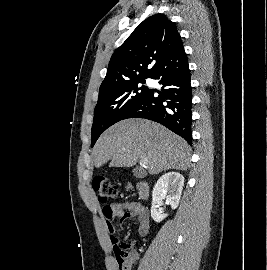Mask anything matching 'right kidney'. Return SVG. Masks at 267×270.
<instances>
[{"label":"right kidney","instance_id":"right-kidney-1","mask_svg":"<svg viewBox=\"0 0 267 270\" xmlns=\"http://www.w3.org/2000/svg\"><path fill=\"white\" fill-rule=\"evenodd\" d=\"M183 186L184 177L178 172L165 173L158 179L152 191L151 217L155 222L159 223L167 217L160 209L165 198L172 209L178 207Z\"/></svg>","mask_w":267,"mask_h":270}]
</instances>
